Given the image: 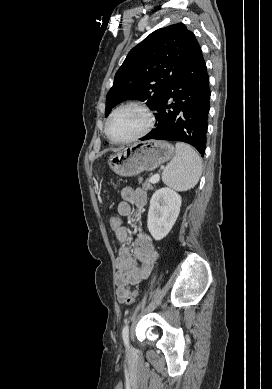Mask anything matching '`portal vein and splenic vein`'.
<instances>
[{"label":"portal vein and splenic vein","instance_id":"18ae733b","mask_svg":"<svg viewBox=\"0 0 272 389\" xmlns=\"http://www.w3.org/2000/svg\"><path fill=\"white\" fill-rule=\"evenodd\" d=\"M160 179V176L158 174H155L154 176L151 177V182L154 184V183H157Z\"/></svg>","mask_w":272,"mask_h":389}]
</instances>
